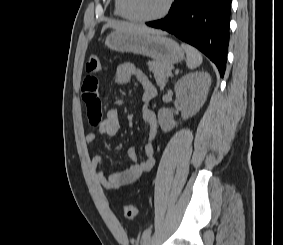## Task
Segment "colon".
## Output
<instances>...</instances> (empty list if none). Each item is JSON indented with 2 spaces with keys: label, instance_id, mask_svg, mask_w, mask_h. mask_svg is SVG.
<instances>
[{
  "label": "colon",
  "instance_id": "1",
  "mask_svg": "<svg viewBox=\"0 0 283 245\" xmlns=\"http://www.w3.org/2000/svg\"><path fill=\"white\" fill-rule=\"evenodd\" d=\"M100 67V60L95 55L91 56L87 61L86 70L90 74L98 73L100 71ZM122 209L124 216L129 219L133 218L137 213L136 207L132 204H125Z\"/></svg>",
  "mask_w": 283,
  "mask_h": 245
}]
</instances>
